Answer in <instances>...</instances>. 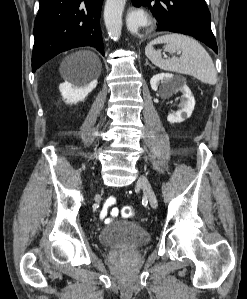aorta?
I'll list each match as a JSON object with an SVG mask.
<instances>
[{"mask_svg": "<svg viewBox=\"0 0 247 299\" xmlns=\"http://www.w3.org/2000/svg\"><path fill=\"white\" fill-rule=\"evenodd\" d=\"M126 0H106L104 21L111 39L117 40L122 30V15Z\"/></svg>", "mask_w": 247, "mask_h": 299, "instance_id": "aorta-1", "label": "aorta"}]
</instances>
